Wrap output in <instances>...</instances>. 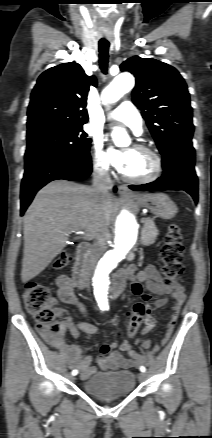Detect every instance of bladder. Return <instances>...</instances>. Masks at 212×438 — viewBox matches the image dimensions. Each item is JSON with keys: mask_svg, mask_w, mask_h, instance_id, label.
<instances>
[{"mask_svg": "<svg viewBox=\"0 0 212 438\" xmlns=\"http://www.w3.org/2000/svg\"><path fill=\"white\" fill-rule=\"evenodd\" d=\"M135 380V374L128 370L98 372L84 380L82 388L93 396L110 399L131 394Z\"/></svg>", "mask_w": 212, "mask_h": 438, "instance_id": "bladder-1", "label": "bladder"}]
</instances>
